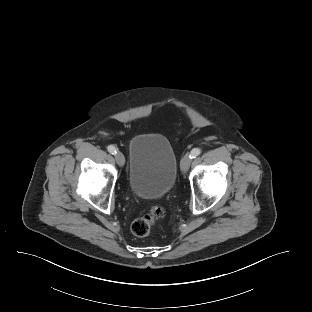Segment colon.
Listing matches in <instances>:
<instances>
[{
	"label": "colon",
	"instance_id": "colon-1",
	"mask_svg": "<svg viewBox=\"0 0 312 312\" xmlns=\"http://www.w3.org/2000/svg\"><path fill=\"white\" fill-rule=\"evenodd\" d=\"M165 211L160 205H153L149 212L137 218L131 225L132 233L137 237H146L151 233L155 222L163 219Z\"/></svg>",
	"mask_w": 312,
	"mask_h": 312
}]
</instances>
